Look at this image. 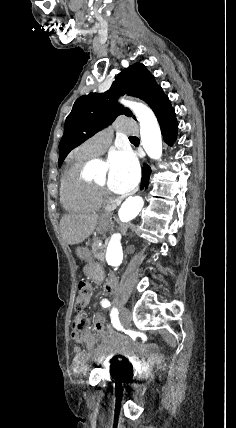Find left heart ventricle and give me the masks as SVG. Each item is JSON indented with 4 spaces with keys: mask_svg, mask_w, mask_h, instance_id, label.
Returning a JSON list of instances; mask_svg holds the SVG:
<instances>
[{
    "mask_svg": "<svg viewBox=\"0 0 236 428\" xmlns=\"http://www.w3.org/2000/svg\"><path fill=\"white\" fill-rule=\"evenodd\" d=\"M97 182L105 184L109 188V173L107 171V168L104 172L99 174L96 179ZM110 189V188H109ZM111 190V189H110Z\"/></svg>",
    "mask_w": 236,
    "mask_h": 428,
    "instance_id": "1",
    "label": "left heart ventricle"
}]
</instances>
